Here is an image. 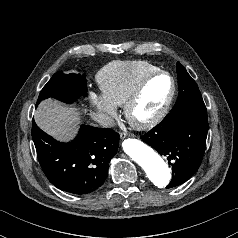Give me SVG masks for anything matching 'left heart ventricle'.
<instances>
[{
    "mask_svg": "<svg viewBox=\"0 0 238 238\" xmlns=\"http://www.w3.org/2000/svg\"><path fill=\"white\" fill-rule=\"evenodd\" d=\"M170 92V81L160 76L150 81L142 97L133 110V116L139 121L154 116L165 103Z\"/></svg>",
    "mask_w": 238,
    "mask_h": 238,
    "instance_id": "1",
    "label": "left heart ventricle"
}]
</instances>
